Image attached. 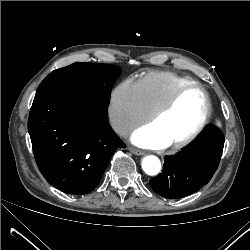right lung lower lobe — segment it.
<instances>
[{
	"label": "right lung lower lobe",
	"instance_id": "98d812e1",
	"mask_svg": "<svg viewBox=\"0 0 250 250\" xmlns=\"http://www.w3.org/2000/svg\"><path fill=\"white\" fill-rule=\"evenodd\" d=\"M107 109L67 89L36 93L28 131L37 166L54 187L75 195L91 192L114 152L125 147L108 124Z\"/></svg>",
	"mask_w": 250,
	"mask_h": 250
}]
</instances>
